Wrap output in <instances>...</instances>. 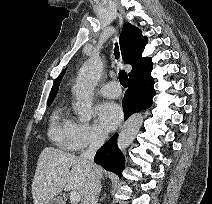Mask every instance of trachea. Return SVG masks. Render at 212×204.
Here are the masks:
<instances>
[{"label": "trachea", "mask_w": 212, "mask_h": 204, "mask_svg": "<svg viewBox=\"0 0 212 204\" xmlns=\"http://www.w3.org/2000/svg\"><path fill=\"white\" fill-rule=\"evenodd\" d=\"M115 56H116V59L119 58V51H118V46L116 45L115 49ZM119 81H120V84L123 86V87H127L128 85V76H127V73L124 71V70H121L119 72Z\"/></svg>", "instance_id": "3493384b"}]
</instances>
